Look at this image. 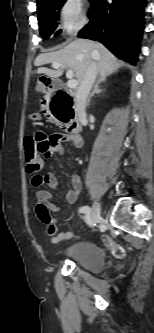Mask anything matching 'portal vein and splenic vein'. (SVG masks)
<instances>
[{
  "instance_id": "portal-vein-and-splenic-vein-1",
  "label": "portal vein and splenic vein",
  "mask_w": 154,
  "mask_h": 333,
  "mask_svg": "<svg viewBox=\"0 0 154 333\" xmlns=\"http://www.w3.org/2000/svg\"><path fill=\"white\" fill-rule=\"evenodd\" d=\"M63 65L61 63H52V67L54 69H58L60 67H62ZM67 78L69 79L67 82V86L69 88H76L78 85V81L76 79H74V72L72 69H69L66 73Z\"/></svg>"
}]
</instances>
